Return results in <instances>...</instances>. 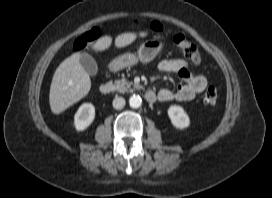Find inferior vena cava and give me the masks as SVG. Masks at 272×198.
<instances>
[{
    "label": "inferior vena cava",
    "instance_id": "inferior-vena-cava-1",
    "mask_svg": "<svg viewBox=\"0 0 272 198\" xmlns=\"http://www.w3.org/2000/svg\"><path fill=\"white\" fill-rule=\"evenodd\" d=\"M126 102L123 97H115L113 100V107L115 109H122L125 106Z\"/></svg>",
    "mask_w": 272,
    "mask_h": 198
}]
</instances>
